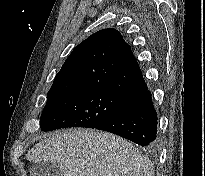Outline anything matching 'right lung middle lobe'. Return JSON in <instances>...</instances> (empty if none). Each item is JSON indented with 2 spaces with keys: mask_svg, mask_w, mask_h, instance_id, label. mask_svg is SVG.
<instances>
[{
  "mask_svg": "<svg viewBox=\"0 0 205 176\" xmlns=\"http://www.w3.org/2000/svg\"><path fill=\"white\" fill-rule=\"evenodd\" d=\"M126 100L103 91L47 96L40 127L42 131L67 127L97 128L107 122Z\"/></svg>",
  "mask_w": 205,
  "mask_h": 176,
  "instance_id": "dd1d6c3e",
  "label": "right lung middle lobe"
}]
</instances>
